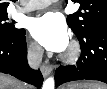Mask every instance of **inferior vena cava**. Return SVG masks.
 Here are the masks:
<instances>
[{"instance_id": "1", "label": "inferior vena cava", "mask_w": 107, "mask_h": 89, "mask_svg": "<svg viewBox=\"0 0 107 89\" xmlns=\"http://www.w3.org/2000/svg\"><path fill=\"white\" fill-rule=\"evenodd\" d=\"M43 56V49L39 45H32L28 51L27 61L31 68L38 69Z\"/></svg>"}]
</instances>
